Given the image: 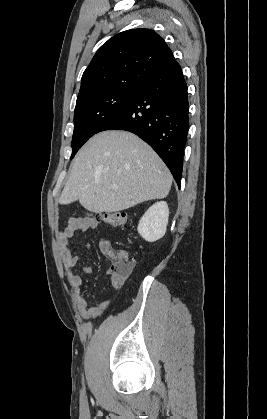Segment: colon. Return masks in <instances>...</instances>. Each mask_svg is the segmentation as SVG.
I'll use <instances>...</instances> for the list:
<instances>
[{
    "label": "colon",
    "instance_id": "colon-1",
    "mask_svg": "<svg viewBox=\"0 0 267 419\" xmlns=\"http://www.w3.org/2000/svg\"><path fill=\"white\" fill-rule=\"evenodd\" d=\"M92 218L98 223L112 227H121L127 223V215L122 212H103L93 215ZM111 261L108 272L112 276L126 277L131 273L134 266L129 254L123 250L114 251Z\"/></svg>",
    "mask_w": 267,
    "mask_h": 419
}]
</instances>
